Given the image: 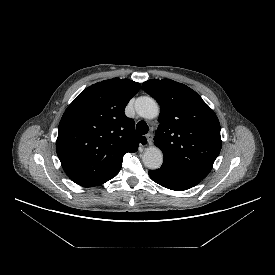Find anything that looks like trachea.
Here are the masks:
<instances>
[{
  "instance_id": "trachea-1",
  "label": "trachea",
  "mask_w": 275,
  "mask_h": 275,
  "mask_svg": "<svg viewBox=\"0 0 275 275\" xmlns=\"http://www.w3.org/2000/svg\"><path fill=\"white\" fill-rule=\"evenodd\" d=\"M136 131L139 134L145 135L149 131V127L145 121H139L136 125Z\"/></svg>"
}]
</instances>
